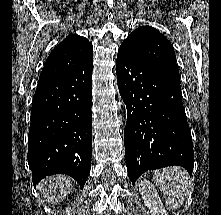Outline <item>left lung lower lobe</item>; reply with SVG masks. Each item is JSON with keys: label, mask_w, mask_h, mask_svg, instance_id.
<instances>
[{"label": "left lung lower lobe", "mask_w": 221, "mask_h": 215, "mask_svg": "<svg viewBox=\"0 0 221 215\" xmlns=\"http://www.w3.org/2000/svg\"><path fill=\"white\" fill-rule=\"evenodd\" d=\"M120 95L127 107L124 130L128 176L134 184L147 170L194 166L191 133L177 81L120 46L116 61Z\"/></svg>", "instance_id": "obj_1"}]
</instances>
